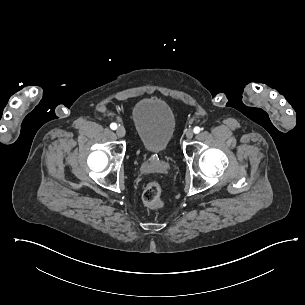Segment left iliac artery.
I'll use <instances>...</instances> for the list:
<instances>
[{
    "mask_svg": "<svg viewBox=\"0 0 305 305\" xmlns=\"http://www.w3.org/2000/svg\"><path fill=\"white\" fill-rule=\"evenodd\" d=\"M201 130H202V128H200V127H198V126H196V127L193 129L194 133H196V134H198Z\"/></svg>",
    "mask_w": 305,
    "mask_h": 305,
    "instance_id": "left-iliac-artery-1",
    "label": "left iliac artery"
}]
</instances>
